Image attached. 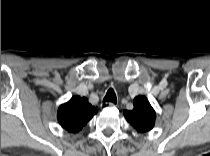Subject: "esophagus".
<instances>
[{"label":"esophagus","mask_w":210,"mask_h":156,"mask_svg":"<svg viewBox=\"0 0 210 156\" xmlns=\"http://www.w3.org/2000/svg\"><path fill=\"white\" fill-rule=\"evenodd\" d=\"M101 108L102 109H105V108H108V107H114L115 104L113 102H102L100 104Z\"/></svg>","instance_id":"esophagus-1"}]
</instances>
